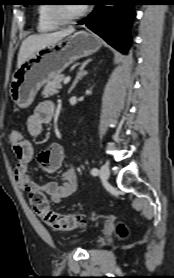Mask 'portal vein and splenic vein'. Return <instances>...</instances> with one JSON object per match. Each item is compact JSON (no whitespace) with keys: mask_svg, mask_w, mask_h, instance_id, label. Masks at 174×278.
Returning a JSON list of instances; mask_svg holds the SVG:
<instances>
[{"mask_svg":"<svg viewBox=\"0 0 174 278\" xmlns=\"http://www.w3.org/2000/svg\"><path fill=\"white\" fill-rule=\"evenodd\" d=\"M71 78L70 77H66L64 79V84H68L70 82Z\"/></svg>","mask_w":174,"mask_h":278,"instance_id":"portal-vein-and-splenic-vein-1","label":"portal vein and splenic vein"}]
</instances>
